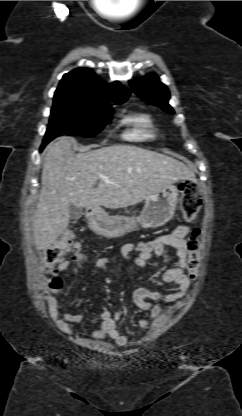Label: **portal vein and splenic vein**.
Returning a JSON list of instances; mask_svg holds the SVG:
<instances>
[{"label": "portal vein and splenic vein", "mask_w": 242, "mask_h": 416, "mask_svg": "<svg viewBox=\"0 0 242 416\" xmlns=\"http://www.w3.org/2000/svg\"><path fill=\"white\" fill-rule=\"evenodd\" d=\"M98 177L105 180L106 182H109L108 178L106 176H104L103 174H99Z\"/></svg>", "instance_id": "1"}]
</instances>
